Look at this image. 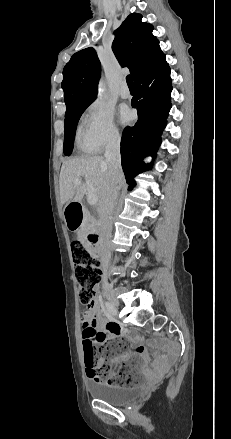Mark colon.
I'll use <instances>...</instances> for the list:
<instances>
[{
  "instance_id": "obj_1",
  "label": "colon",
  "mask_w": 231,
  "mask_h": 439,
  "mask_svg": "<svg viewBox=\"0 0 231 439\" xmlns=\"http://www.w3.org/2000/svg\"><path fill=\"white\" fill-rule=\"evenodd\" d=\"M71 252L74 265V273L79 285V297L81 302L91 307L95 286L101 279V267L99 262L92 256L88 249L79 240L71 244ZM127 349L124 339H115L105 342L101 347L87 343L84 347V362L87 374L98 381L107 379L108 384L118 386H131L138 382L125 369L117 368L114 374H110L112 359H117Z\"/></svg>"
}]
</instances>
